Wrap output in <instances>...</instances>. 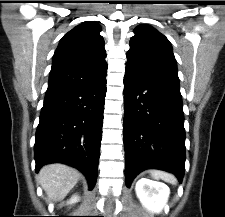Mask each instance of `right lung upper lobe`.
<instances>
[{"label":"right lung upper lobe","instance_id":"obj_1","mask_svg":"<svg viewBox=\"0 0 225 217\" xmlns=\"http://www.w3.org/2000/svg\"><path fill=\"white\" fill-rule=\"evenodd\" d=\"M101 27L85 22L60 40L50 71L46 93L87 86L106 78L107 63Z\"/></svg>","mask_w":225,"mask_h":217}]
</instances>
